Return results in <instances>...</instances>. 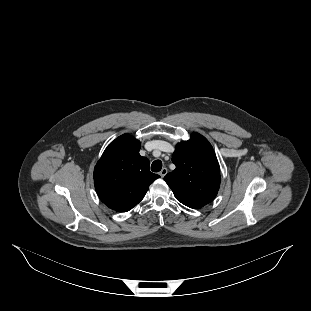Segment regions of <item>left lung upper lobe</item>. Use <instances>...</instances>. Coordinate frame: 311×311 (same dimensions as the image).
<instances>
[{"mask_svg": "<svg viewBox=\"0 0 311 311\" xmlns=\"http://www.w3.org/2000/svg\"><path fill=\"white\" fill-rule=\"evenodd\" d=\"M172 162L176 168L164 180L178 201L198 209L216 197L220 186V167L206 138L194 133L188 141L178 143Z\"/></svg>", "mask_w": 311, "mask_h": 311, "instance_id": "obj_1", "label": "left lung upper lobe"}]
</instances>
